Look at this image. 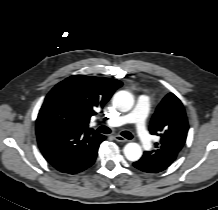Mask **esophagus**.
<instances>
[{
    "label": "esophagus",
    "mask_w": 218,
    "mask_h": 210,
    "mask_svg": "<svg viewBox=\"0 0 218 210\" xmlns=\"http://www.w3.org/2000/svg\"><path fill=\"white\" fill-rule=\"evenodd\" d=\"M114 139H115L117 142H122V143H125V142L128 141L126 138H124V137L121 136V135H115V136H114Z\"/></svg>",
    "instance_id": "1"
}]
</instances>
